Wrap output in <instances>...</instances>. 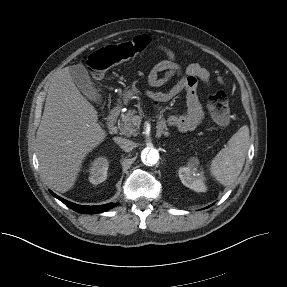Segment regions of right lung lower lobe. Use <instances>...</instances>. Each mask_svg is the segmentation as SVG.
I'll use <instances>...</instances> for the list:
<instances>
[{
	"label": "right lung lower lobe",
	"instance_id": "right-lung-lower-lobe-1",
	"mask_svg": "<svg viewBox=\"0 0 287 287\" xmlns=\"http://www.w3.org/2000/svg\"><path fill=\"white\" fill-rule=\"evenodd\" d=\"M51 194L54 197L58 198L60 201H62L66 206H68L69 208L79 213H85V214L102 213L107 210H110L111 208L117 205V203L116 204L108 203V204L98 205V206H83V205H78V204L69 202L59 197L58 195L54 194L53 192H51Z\"/></svg>",
	"mask_w": 287,
	"mask_h": 287
}]
</instances>
